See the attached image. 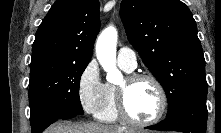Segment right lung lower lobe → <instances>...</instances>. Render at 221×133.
<instances>
[{
	"label": "right lung lower lobe",
	"instance_id": "98d812e1",
	"mask_svg": "<svg viewBox=\"0 0 221 133\" xmlns=\"http://www.w3.org/2000/svg\"><path fill=\"white\" fill-rule=\"evenodd\" d=\"M77 115L80 114H78L74 110H69L62 114H49L48 112H38L35 114L31 113L30 123H31L32 133H41L53 122L60 119L73 118Z\"/></svg>",
	"mask_w": 221,
	"mask_h": 133
}]
</instances>
